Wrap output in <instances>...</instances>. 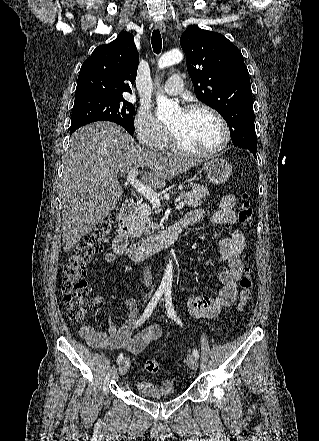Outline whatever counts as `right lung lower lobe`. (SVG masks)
Masks as SVG:
<instances>
[{
	"label": "right lung lower lobe",
	"mask_w": 319,
	"mask_h": 441,
	"mask_svg": "<svg viewBox=\"0 0 319 441\" xmlns=\"http://www.w3.org/2000/svg\"><path fill=\"white\" fill-rule=\"evenodd\" d=\"M79 128V127H78ZM78 128H72V129H70V135L76 130V129H78Z\"/></svg>",
	"instance_id": "obj_1"
}]
</instances>
